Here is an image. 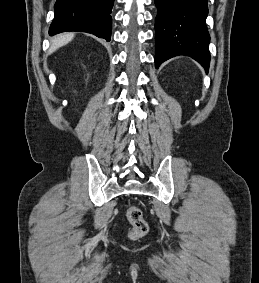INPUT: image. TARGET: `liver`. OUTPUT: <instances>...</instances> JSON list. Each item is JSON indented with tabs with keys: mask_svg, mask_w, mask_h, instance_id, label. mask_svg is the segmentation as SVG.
Segmentation results:
<instances>
[{
	"mask_svg": "<svg viewBox=\"0 0 259 283\" xmlns=\"http://www.w3.org/2000/svg\"><path fill=\"white\" fill-rule=\"evenodd\" d=\"M73 38H74V33H66L55 37L54 39L51 40L49 53L51 54L54 51H56L58 48L68 44L70 41H72Z\"/></svg>",
	"mask_w": 259,
	"mask_h": 283,
	"instance_id": "6515ba94",
	"label": "liver"
}]
</instances>
